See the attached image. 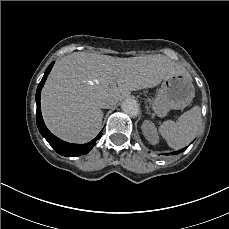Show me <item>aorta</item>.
<instances>
[{
	"label": "aorta",
	"mask_w": 229,
	"mask_h": 229,
	"mask_svg": "<svg viewBox=\"0 0 229 229\" xmlns=\"http://www.w3.org/2000/svg\"><path fill=\"white\" fill-rule=\"evenodd\" d=\"M121 107L122 110L131 117H136L139 114V105L134 99H125Z\"/></svg>",
	"instance_id": "762f6f07"
}]
</instances>
